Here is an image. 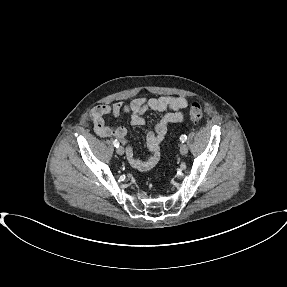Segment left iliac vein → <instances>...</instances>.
I'll use <instances>...</instances> for the list:
<instances>
[{
    "mask_svg": "<svg viewBox=\"0 0 287 287\" xmlns=\"http://www.w3.org/2000/svg\"><path fill=\"white\" fill-rule=\"evenodd\" d=\"M187 152H188V147H187V145H186V144H182V145L180 146V153H181L182 155H185V154H187Z\"/></svg>",
    "mask_w": 287,
    "mask_h": 287,
    "instance_id": "4c4485c4",
    "label": "left iliac vein"
}]
</instances>
